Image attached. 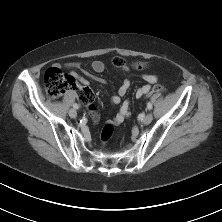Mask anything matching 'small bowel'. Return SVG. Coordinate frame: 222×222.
<instances>
[{"label": "small bowel", "instance_id": "1", "mask_svg": "<svg viewBox=\"0 0 222 222\" xmlns=\"http://www.w3.org/2000/svg\"><path fill=\"white\" fill-rule=\"evenodd\" d=\"M65 67L67 69L72 70V74L75 77H77V79L83 86H88L89 84L88 78L78 76L74 72V70L82 68V64L80 62H69L65 64ZM90 68L92 72L99 74L105 70V65L102 61L95 60L91 63ZM124 70L127 71V68H125ZM87 76L100 83L106 82L104 79L94 76L92 74H87ZM142 79L146 82V84H144L143 86H141L135 91V97L137 99L144 97L152 89V85L155 84L158 80L157 76L154 74H144L142 75ZM130 85H131L130 81L128 79H124L120 87L118 88L117 94L111 98V103L113 105H120V108L118 112L115 114V116L112 119L108 120L109 124L119 125L130 116L129 101H122V98L127 94L130 88ZM92 116L95 121L98 120V116L95 112H92Z\"/></svg>", "mask_w": 222, "mask_h": 222}]
</instances>
